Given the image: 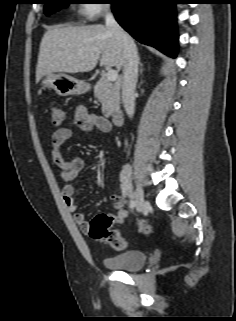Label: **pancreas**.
<instances>
[{
	"label": "pancreas",
	"instance_id": "cf45deb5",
	"mask_svg": "<svg viewBox=\"0 0 236 321\" xmlns=\"http://www.w3.org/2000/svg\"><path fill=\"white\" fill-rule=\"evenodd\" d=\"M94 96L102 104V113L109 117L120 108L119 87L102 77L94 88Z\"/></svg>",
	"mask_w": 236,
	"mask_h": 321
}]
</instances>
